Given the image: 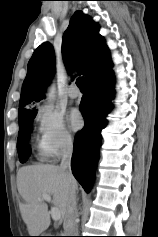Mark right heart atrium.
I'll list each match as a JSON object with an SVG mask.
<instances>
[{"mask_svg": "<svg viewBox=\"0 0 158 237\" xmlns=\"http://www.w3.org/2000/svg\"><path fill=\"white\" fill-rule=\"evenodd\" d=\"M39 150L44 156L55 159L72 145V135L61 114L52 108H42L38 115Z\"/></svg>", "mask_w": 158, "mask_h": 237, "instance_id": "right-heart-atrium-1", "label": "right heart atrium"}]
</instances>
